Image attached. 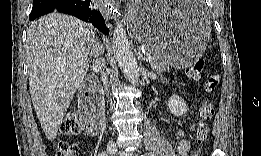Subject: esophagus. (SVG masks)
I'll list each match as a JSON object with an SVG mask.
<instances>
[{"label": "esophagus", "instance_id": "esophagus-1", "mask_svg": "<svg viewBox=\"0 0 261 156\" xmlns=\"http://www.w3.org/2000/svg\"><path fill=\"white\" fill-rule=\"evenodd\" d=\"M106 15L111 18H116L118 16L117 7L114 4H110V7L107 6Z\"/></svg>", "mask_w": 261, "mask_h": 156}]
</instances>
